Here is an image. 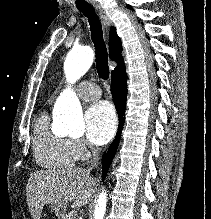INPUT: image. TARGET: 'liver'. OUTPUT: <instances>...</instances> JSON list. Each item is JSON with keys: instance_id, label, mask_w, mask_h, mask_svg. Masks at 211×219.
<instances>
[{"instance_id": "6515ba94", "label": "liver", "mask_w": 211, "mask_h": 219, "mask_svg": "<svg viewBox=\"0 0 211 219\" xmlns=\"http://www.w3.org/2000/svg\"><path fill=\"white\" fill-rule=\"evenodd\" d=\"M89 175L90 170L75 167L32 174L27 184V203L32 218L40 219L45 204L65 207L74 202L78 207L86 206L96 183Z\"/></svg>"}]
</instances>
